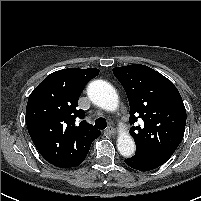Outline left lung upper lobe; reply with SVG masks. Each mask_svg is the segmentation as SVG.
I'll return each mask as SVG.
<instances>
[{
	"mask_svg": "<svg viewBox=\"0 0 201 201\" xmlns=\"http://www.w3.org/2000/svg\"><path fill=\"white\" fill-rule=\"evenodd\" d=\"M129 100L130 124L138 118L144 127L133 126L130 134L136 156H171L180 144L186 124V110L174 84L152 68L133 64L112 69Z\"/></svg>",
	"mask_w": 201,
	"mask_h": 201,
	"instance_id": "5c2ea615",
	"label": "left lung upper lobe"
}]
</instances>
